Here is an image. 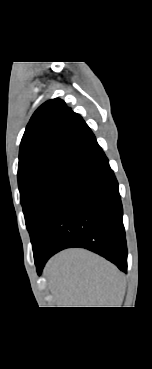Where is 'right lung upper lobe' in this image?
I'll return each instance as SVG.
<instances>
[{"mask_svg":"<svg viewBox=\"0 0 152 369\" xmlns=\"http://www.w3.org/2000/svg\"><path fill=\"white\" fill-rule=\"evenodd\" d=\"M98 145L82 117L61 99L42 104L32 115L20 144L18 179L58 162L78 163Z\"/></svg>","mask_w":152,"mask_h":369,"instance_id":"1","label":"right lung upper lobe"}]
</instances>
